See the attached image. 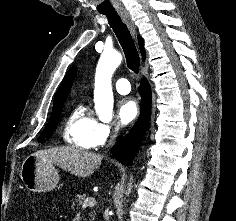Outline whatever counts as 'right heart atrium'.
I'll return each mask as SVG.
<instances>
[{
	"mask_svg": "<svg viewBox=\"0 0 236 221\" xmlns=\"http://www.w3.org/2000/svg\"><path fill=\"white\" fill-rule=\"evenodd\" d=\"M119 128L116 124L110 122H97L94 135L93 144L95 147L102 146L108 141L116 137Z\"/></svg>",
	"mask_w": 236,
	"mask_h": 221,
	"instance_id": "right-heart-atrium-1",
	"label": "right heart atrium"
}]
</instances>
